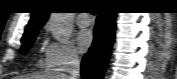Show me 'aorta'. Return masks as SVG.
Wrapping results in <instances>:
<instances>
[{
    "instance_id": "762f6f07",
    "label": "aorta",
    "mask_w": 177,
    "mask_h": 79,
    "mask_svg": "<svg viewBox=\"0 0 177 79\" xmlns=\"http://www.w3.org/2000/svg\"><path fill=\"white\" fill-rule=\"evenodd\" d=\"M72 13H51L49 27L54 38L66 44L73 31Z\"/></svg>"
}]
</instances>
